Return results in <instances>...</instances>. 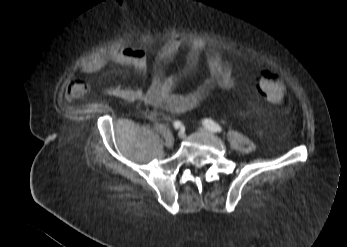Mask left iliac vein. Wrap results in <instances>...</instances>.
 Here are the masks:
<instances>
[{"mask_svg":"<svg viewBox=\"0 0 347 247\" xmlns=\"http://www.w3.org/2000/svg\"><path fill=\"white\" fill-rule=\"evenodd\" d=\"M200 132H203V133H209V134H212V132L206 128H200L199 129Z\"/></svg>","mask_w":347,"mask_h":247,"instance_id":"1","label":"left iliac vein"}]
</instances>
